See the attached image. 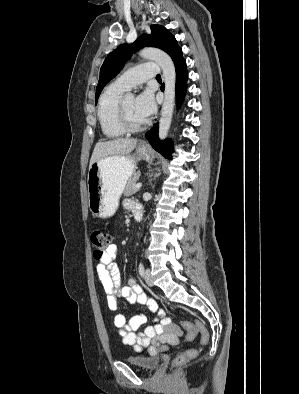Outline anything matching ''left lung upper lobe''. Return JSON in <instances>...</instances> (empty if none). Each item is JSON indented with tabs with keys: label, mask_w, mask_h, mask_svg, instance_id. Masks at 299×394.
<instances>
[{
	"label": "left lung upper lobe",
	"mask_w": 299,
	"mask_h": 394,
	"mask_svg": "<svg viewBox=\"0 0 299 394\" xmlns=\"http://www.w3.org/2000/svg\"><path fill=\"white\" fill-rule=\"evenodd\" d=\"M145 46L160 48L173 58L181 49L175 37L163 26L152 25L151 35L140 36L133 44H122L105 59L100 69L99 82L96 87V102L104 86L113 79L132 56V53Z\"/></svg>",
	"instance_id": "left-lung-upper-lobe-1"
}]
</instances>
